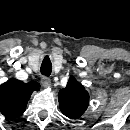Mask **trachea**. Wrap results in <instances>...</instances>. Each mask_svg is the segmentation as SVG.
Here are the masks:
<instances>
[{
  "instance_id": "1",
  "label": "trachea",
  "mask_w": 130,
  "mask_h": 130,
  "mask_svg": "<svg viewBox=\"0 0 130 130\" xmlns=\"http://www.w3.org/2000/svg\"><path fill=\"white\" fill-rule=\"evenodd\" d=\"M40 72L46 77L50 76L52 72V64L48 56H45L44 60L42 61Z\"/></svg>"
}]
</instances>
